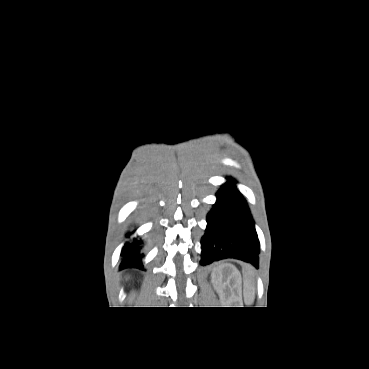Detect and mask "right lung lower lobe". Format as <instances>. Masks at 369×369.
Here are the masks:
<instances>
[{"instance_id": "obj_1", "label": "right lung lower lobe", "mask_w": 369, "mask_h": 369, "mask_svg": "<svg viewBox=\"0 0 369 369\" xmlns=\"http://www.w3.org/2000/svg\"><path fill=\"white\" fill-rule=\"evenodd\" d=\"M140 243L141 242L138 240H134L132 244L126 243L121 254L124 257L120 266L121 269L127 267H134L140 269L143 268V264L141 261L142 255L139 254Z\"/></svg>"}]
</instances>
